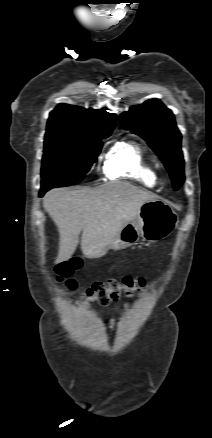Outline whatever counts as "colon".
I'll return each instance as SVG.
<instances>
[{"mask_svg":"<svg viewBox=\"0 0 212 438\" xmlns=\"http://www.w3.org/2000/svg\"><path fill=\"white\" fill-rule=\"evenodd\" d=\"M79 259H73L58 264L56 266V275L58 281L66 280L69 289H75V282L69 277L74 270L80 268ZM145 287V281L142 278L124 277L122 279H111L106 282L93 283L83 294L82 298L86 304L97 302L100 305H108L117 301L122 295L132 296Z\"/></svg>","mask_w":212,"mask_h":438,"instance_id":"1","label":"colon"}]
</instances>
